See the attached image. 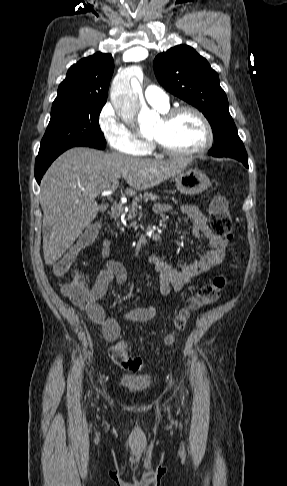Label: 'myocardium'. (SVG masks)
<instances>
[{"mask_svg": "<svg viewBox=\"0 0 287 486\" xmlns=\"http://www.w3.org/2000/svg\"><path fill=\"white\" fill-rule=\"evenodd\" d=\"M184 113H192L195 116L198 117V119L201 121L204 131H205V140L202 145L199 147L192 149V150H187V151H178V150H173L169 147H167L165 144H163L159 139L156 138H151L150 143L153 147L158 149L161 153L170 156V157H177V158H184V157H192L196 156L199 154H202L206 151H208L211 146L213 145L214 142V133L212 126L206 117V115L199 110L198 108L190 105H183L179 107H175L172 109L167 110L163 116L162 119L165 123H170L172 122L176 117H178L181 114Z\"/></svg>", "mask_w": 287, "mask_h": 486, "instance_id": "f54148a6", "label": "myocardium"}]
</instances>
